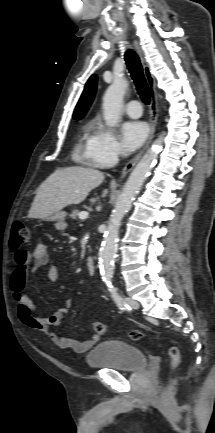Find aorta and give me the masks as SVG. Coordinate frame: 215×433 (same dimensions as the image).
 <instances>
[{
  "label": "aorta",
  "mask_w": 215,
  "mask_h": 433,
  "mask_svg": "<svg viewBox=\"0 0 215 433\" xmlns=\"http://www.w3.org/2000/svg\"><path fill=\"white\" fill-rule=\"evenodd\" d=\"M128 82L123 78H116L107 88L103 96V116L106 124L110 127L118 125L122 110L123 98L128 88ZM162 137H158L151 148L144 154L136 165L118 198L115 208L109 219L104 241L100 250V264L103 281L111 284L114 273V259L117 253L119 228L125 214L131 207L134 197L146 180L152 167L157 161L158 154L162 148Z\"/></svg>",
  "instance_id": "obj_1"
}]
</instances>
